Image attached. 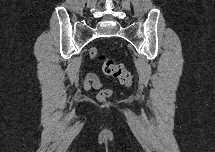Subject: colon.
Listing matches in <instances>:
<instances>
[{
  "label": "colon",
  "instance_id": "1",
  "mask_svg": "<svg viewBox=\"0 0 215 152\" xmlns=\"http://www.w3.org/2000/svg\"><path fill=\"white\" fill-rule=\"evenodd\" d=\"M89 55L91 58L97 59L101 63L105 74L118 79L124 86H131L132 76L123 64L115 63L108 55L99 53L95 47L89 49ZM111 94L112 91L105 88L98 93L97 98L100 101H104L109 98Z\"/></svg>",
  "mask_w": 215,
  "mask_h": 152
}]
</instances>
